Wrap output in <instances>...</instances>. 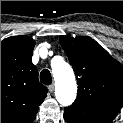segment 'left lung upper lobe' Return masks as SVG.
Segmentation results:
<instances>
[{
  "label": "left lung upper lobe",
  "instance_id": "left-lung-upper-lobe-1",
  "mask_svg": "<svg viewBox=\"0 0 123 123\" xmlns=\"http://www.w3.org/2000/svg\"><path fill=\"white\" fill-rule=\"evenodd\" d=\"M75 71L78 93L74 107L113 120L123 103V66L88 37H60Z\"/></svg>",
  "mask_w": 123,
  "mask_h": 123
}]
</instances>
